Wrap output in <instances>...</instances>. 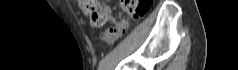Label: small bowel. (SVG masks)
Segmentation results:
<instances>
[{
  "instance_id": "small-bowel-1",
  "label": "small bowel",
  "mask_w": 238,
  "mask_h": 70,
  "mask_svg": "<svg viewBox=\"0 0 238 70\" xmlns=\"http://www.w3.org/2000/svg\"><path fill=\"white\" fill-rule=\"evenodd\" d=\"M101 11L106 15L107 21L111 20V8L106 4H102L100 7ZM128 22L124 19L116 21L114 27L106 29L102 34L101 38L107 43H112L120 38L127 30ZM115 30V33H112Z\"/></svg>"
}]
</instances>
